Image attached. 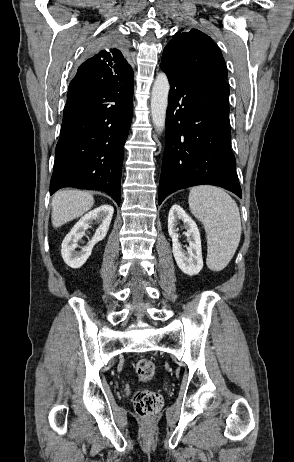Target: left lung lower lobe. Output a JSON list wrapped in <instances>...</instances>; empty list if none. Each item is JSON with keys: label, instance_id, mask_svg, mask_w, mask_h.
Instances as JSON below:
<instances>
[{"label": "left lung lower lobe", "instance_id": "0a47b994", "mask_svg": "<svg viewBox=\"0 0 294 462\" xmlns=\"http://www.w3.org/2000/svg\"><path fill=\"white\" fill-rule=\"evenodd\" d=\"M161 69L168 76L170 91L158 203L172 192L200 184L220 186L241 197L230 148L226 81L195 79Z\"/></svg>", "mask_w": 294, "mask_h": 462}]
</instances>
